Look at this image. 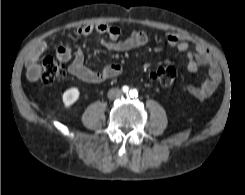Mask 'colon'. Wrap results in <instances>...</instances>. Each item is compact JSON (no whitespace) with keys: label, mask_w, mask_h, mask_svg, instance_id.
I'll list each match as a JSON object with an SVG mask.
<instances>
[{"label":"colon","mask_w":245,"mask_h":195,"mask_svg":"<svg viewBox=\"0 0 245 195\" xmlns=\"http://www.w3.org/2000/svg\"><path fill=\"white\" fill-rule=\"evenodd\" d=\"M65 64L61 60H57L52 56H47L42 62L41 79L46 84H51L54 81L64 77ZM177 69L173 66L160 67L153 71L150 75L152 81L160 86L171 85L177 77Z\"/></svg>","instance_id":"5ec220e1"}]
</instances>
